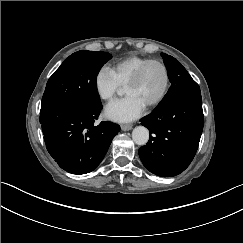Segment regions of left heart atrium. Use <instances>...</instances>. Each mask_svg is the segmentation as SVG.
Instances as JSON below:
<instances>
[{"label":"left heart atrium","mask_w":243,"mask_h":243,"mask_svg":"<svg viewBox=\"0 0 243 243\" xmlns=\"http://www.w3.org/2000/svg\"><path fill=\"white\" fill-rule=\"evenodd\" d=\"M146 105L135 95H127L125 98L114 100L104 108V115L116 122L132 121L144 112Z\"/></svg>","instance_id":"obj_1"}]
</instances>
